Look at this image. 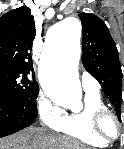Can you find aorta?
<instances>
[{
	"mask_svg": "<svg viewBox=\"0 0 124 149\" xmlns=\"http://www.w3.org/2000/svg\"><path fill=\"white\" fill-rule=\"evenodd\" d=\"M81 23L68 17L50 32L39 65V82L44 93L65 106H81L82 89L78 76Z\"/></svg>",
	"mask_w": 124,
	"mask_h": 149,
	"instance_id": "obj_1",
	"label": "aorta"
}]
</instances>
